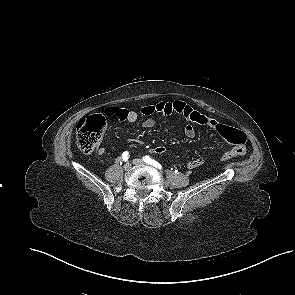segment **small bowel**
<instances>
[{
  "instance_id": "c3829d8e",
  "label": "small bowel",
  "mask_w": 295,
  "mask_h": 295,
  "mask_svg": "<svg viewBox=\"0 0 295 295\" xmlns=\"http://www.w3.org/2000/svg\"><path fill=\"white\" fill-rule=\"evenodd\" d=\"M105 115L108 117L116 118L121 121H127L134 123L138 120V113L133 110H129L122 107L112 106L108 107L104 111ZM140 113L146 116V119L143 121L142 126L144 128H151L155 124L154 115H172L178 114L187 121V124L184 128V134L187 138H194L196 135L197 126H205L214 130L215 132L221 133V128L226 126L221 122L208 117L199 111L193 109L191 106L185 102L175 100V101H160L155 104L145 105L140 109ZM105 152L104 148H98L96 153L98 155H103ZM204 163V159L201 157L194 158L187 163L188 169H195L200 167Z\"/></svg>"
}]
</instances>
